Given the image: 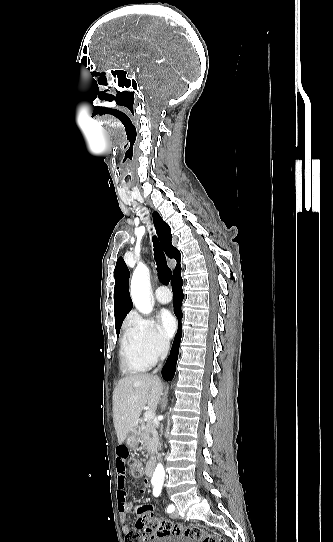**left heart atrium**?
<instances>
[{
    "mask_svg": "<svg viewBox=\"0 0 333 542\" xmlns=\"http://www.w3.org/2000/svg\"><path fill=\"white\" fill-rule=\"evenodd\" d=\"M161 322H162V325H163V328L165 330V332L171 336L175 329H176V320L174 318V316L169 313V312H166L164 314H162V317H161Z\"/></svg>",
    "mask_w": 333,
    "mask_h": 542,
    "instance_id": "left-heart-atrium-1",
    "label": "left heart atrium"
}]
</instances>
